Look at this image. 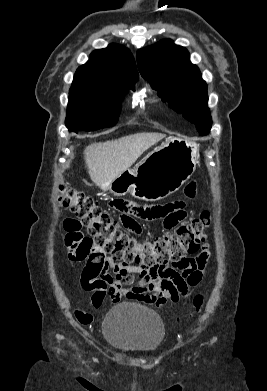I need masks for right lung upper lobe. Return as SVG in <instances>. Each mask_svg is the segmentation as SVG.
<instances>
[{"mask_svg": "<svg viewBox=\"0 0 267 391\" xmlns=\"http://www.w3.org/2000/svg\"><path fill=\"white\" fill-rule=\"evenodd\" d=\"M138 72L131 52L123 46L111 44L95 50L89 61L80 66L73 83H84L109 92H123L132 88Z\"/></svg>", "mask_w": 267, "mask_h": 391, "instance_id": "obj_1", "label": "right lung upper lobe"}]
</instances>
